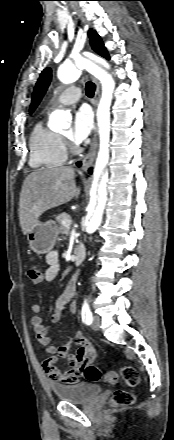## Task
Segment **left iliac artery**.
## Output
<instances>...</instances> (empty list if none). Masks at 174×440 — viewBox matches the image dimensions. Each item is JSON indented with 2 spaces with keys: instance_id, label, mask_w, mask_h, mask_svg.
I'll list each match as a JSON object with an SVG mask.
<instances>
[{
  "instance_id": "left-iliac-artery-1",
  "label": "left iliac artery",
  "mask_w": 174,
  "mask_h": 440,
  "mask_svg": "<svg viewBox=\"0 0 174 440\" xmlns=\"http://www.w3.org/2000/svg\"><path fill=\"white\" fill-rule=\"evenodd\" d=\"M82 320L85 324L90 325L93 321V316L90 311L89 305L87 301H84L83 307H82Z\"/></svg>"
}]
</instances>
